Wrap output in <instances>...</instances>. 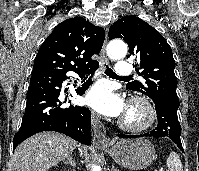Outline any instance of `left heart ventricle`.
I'll use <instances>...</instances> for the list:
<instances>
[{"instance_id":"b2bd125f","label":"left heart ventricle","mask_w":199,"mask_h":171,"mask_svg":"<svg viewBox=\"0 0 199 171\" xmlns=\"http://www.w3.org/2000/svg\"><path fill=\"white\" fill-rule=\"evenodd\" d=\"M136 115H137V114H136L135 112H133V111L130 113V117H132V118H135Z\"/></svg>"}]
</instances>
